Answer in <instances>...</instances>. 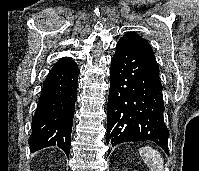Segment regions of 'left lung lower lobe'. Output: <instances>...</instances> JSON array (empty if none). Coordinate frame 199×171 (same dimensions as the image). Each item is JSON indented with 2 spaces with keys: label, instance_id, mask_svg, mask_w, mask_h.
I'll return each instance as SVG.
<instances>
[{
  "label": "left lung lower lobe",
  "instance_id": "1",
  "mask_svg": "<svg viewBox=\"0 0 199 171\" xmlns=\"http://www.w3.org/2000/svg\"><path fill=\"white\" fill-rule=\"evenodd\" d=\"M110 75L107 144L114 147L122 142L150 140L169 154L157 62L119 40Z\"/></svg>",
  "mask_w": 199,
  "mask_h": 171
}]
</instances>
